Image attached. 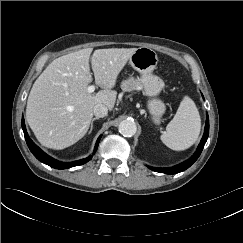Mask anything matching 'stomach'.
Returning a JSON list of instances; mask_svg holds the SVG:
<instances>
[{
  "label": "stomach",
  "mask_w": 243,
  "mask_h": 243,
  "mask_svg": "<svg viewBox=\"0 0 243 243\" xmlns=\"http://www.w3.org/2000/svg\"><path fill=\"white\" fill-rule=\"evenodd\" d=\"M129 63L141 75L140 82L143 85L144 95L149 97L147 108L154 123L159 124L160 118L165 112V105L156 98L164 87L163 80L153 74L158 64L157 53L151 48H137L130 57Z\"/></svg>",
  "instance_id": "0dacf381"
}]
</instances>
